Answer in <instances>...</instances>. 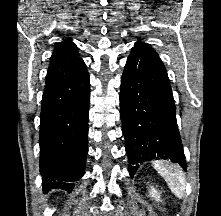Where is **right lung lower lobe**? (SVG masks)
<instances>
[{"label": "right lung lower lobe", "instance_id": "1", "mask_svg": "<svg viewBox=\"0 0 221 216\" xmlns=\"http://www.w3.org/2000/svg\"><path fill=\"white\" fill-rule=\"evenodd\" d=\"M90 80L87 69L44 90L40 116V173L44 192L71 191L85 170Z\"/></svg>", "mask_w": 221, "mask_h": 216}]
</instances>
